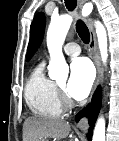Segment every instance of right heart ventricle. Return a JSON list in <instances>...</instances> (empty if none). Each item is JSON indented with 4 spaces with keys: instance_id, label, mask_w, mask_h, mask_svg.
<instances>
[{
    "instance_id": "right-heart-ventricle-1",
    "label": "right heart ventricle",
    "mask_w": 119,
    "mask_h": 141,
    "mask_svg": "<svg viewBox=\"0 0 119 141\" xmlns=\"http://www.w3.org/2000/svg\"><path fill=\"white\" fill-rule=\"evenodd\" d=\"M24 96L29 109L38 117L58 118L62 114L57 84L45 75L44 63H40L32 71Z\"/></svg>"
}]
</instances>
